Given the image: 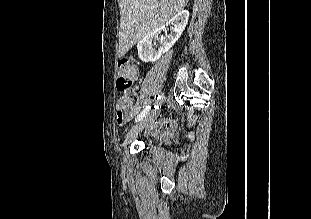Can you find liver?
I'll return each mask as SVG.
<instances>
[{"mask_svg":"<svg viewBox=\"0 0 311 219\" xmlns=\"http://www.w3.org/2000/svg\"><path fill=\"white\" fill-rule=\"evenodd\" d=\"M188 0H119V57L181 12Z\"/></svg>","mask_w":311,"mask_h":219,"instance_id":"6515ba94","label":"liver"}]
</instances>
